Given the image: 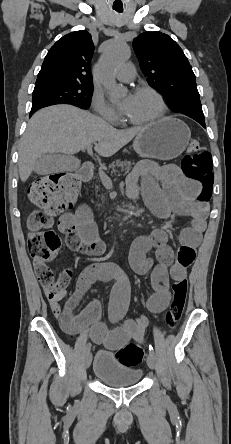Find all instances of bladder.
I'll return each mask as SVG.
<instances>
[{
	"instance_id": "bladder-1",
	"label": "bladder",
	"mask_w": 231,
	"mask_h": 444,
	"mask_svg": "<svg viewBox=\"0 0 231 444\" xmlns=\"http://www.w3.org/2000/svg\"><path fill=\"white\" fill-rule=\"evenodd\" d=\"M92 374L110 387H126L136 385L143 374L136 365L123 362L117 354L99 351L92 364Z\"/></svg>"
}]
</instances>
